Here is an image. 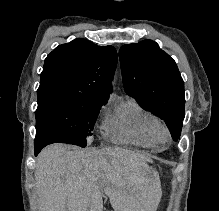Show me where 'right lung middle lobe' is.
I'll return each mask as SVG.
<instances>
[{"instance_id":"right-lung-middle-lobe-1","label":"right lung middle lobe","mask_w":219,"mask_h":211,"mask_svg":"<svg viewBox=\"0 0 219 211\" xmlns=\"http://www.w3.org/2000/svg\"><path fill=\"white\" fill-rule=\"evenodd\" d=\"M105 103L61 93L38 95L36 138L55 137L86 147Z\"/></svg>"}]
</instances>
